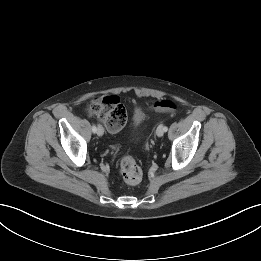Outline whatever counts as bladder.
<instances>
[{
  "label": "bladder",
  "mask_w": 261,
  "mask_h": 261,
  "mask_svg": "<svg viewBox=\"0 0 261 261\" xmlns=\"http://www.w3.org/2000/svg\"><path fill=\"white\" fill-rule=\"evenodd\" d=\"M145 120V113L140 109H135L132 115V126L138 128Z\"/></svg>",
  "instance_id": "obj_1"
}]
</instances>
